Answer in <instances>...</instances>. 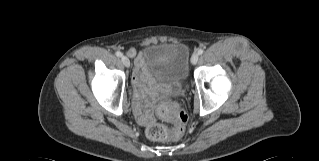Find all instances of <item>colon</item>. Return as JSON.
Listing matches in <instances>:
<instances>
[{
	"instance_id": "5ec220e1",
	"label": "colon",
	"mask_w": 319,
	"mask_h": 161,
	"mask_svg": "<svg viewBox=\"0 0 319 161\" xmlns=\"http://www.w3.org/2000/svg\"><path fill=\"white\" fill-rule=\"evenodd\" d=\"M156 113L164 122L171 123L173 127L170 128L164 123L150 125L147 129V135L151 140L175 141L183 136L188 118L177 101L161 102Z\"/></svg>"
}]
</instances>
